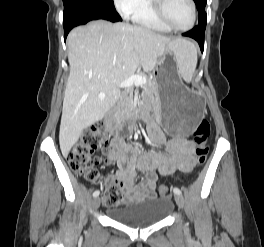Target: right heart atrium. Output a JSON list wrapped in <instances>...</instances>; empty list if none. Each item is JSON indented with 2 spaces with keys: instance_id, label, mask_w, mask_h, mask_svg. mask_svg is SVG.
Listing matches in <instances>:
<instances>
[{
  "instance_id": "obj_1",
  "label": "right heart atrium",
  "mask_w": 264,
  "mask_h": 247,
  "mask_svg": "<svg viewBox=\"0 0 264 247\" xmlns=\"http://www.w3.org/2000/svg\"><path fill=\"white\" fill-rule=\"evenodd\" d=\"M117 10L124 17H129L139 7L142 0H113Z\"/></svg>"
}]
</instances>
